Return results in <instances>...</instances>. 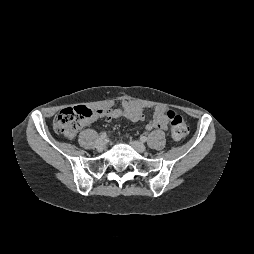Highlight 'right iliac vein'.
Segmentation results:
<instances>
[{
  "label": "right iliac vein",
  "mask_w": 254,
  "mask_h": 254,
  "mask_svg": "<svg viewBox=\"0 0 254 254\" xmlns=\"http://www.w3.org/2000/svg\"><path fill=\"white\" fill-rule=\"evenodd\" d=\"M105 147V141L104 140H98L97 144H96V148L98 150H102Z\"/></svg>",
  "instance_id": "1"
}]
</instances>
